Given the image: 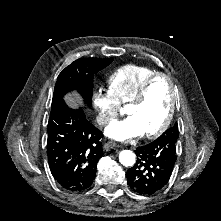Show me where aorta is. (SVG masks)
Masks as SVG:
<instances>
[{
    "instance_id": "762f6f07",
    "label": "aorta",
    "mask_w": 221,
    "mask_h": 221,
    "mask_svg": "<svg viewBox=\"0 0 221 221\" xmlns=\"http://www.w3.org/2000/svg\"><path fill=\"white\" fill-rule=\"evenodd\" d=\"M119 162L126 167L133 166L135 163V154L131 150H123L119 154Z\"/></svg>"
}]
</instances>
